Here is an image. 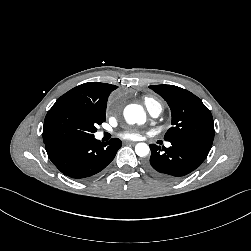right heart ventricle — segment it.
<instances>
[{"mask_svg":"<svg viewBox=\"0 0 251 251\" xmlns=\"http://www.w3.org/2000/svg\"><path fill=\"white\" fill-rule=\"evenodd\" d=\"M144 103H145V105H147V104H152V103H157V104H159L156 100H154L153 98H149V97H146V98L144 99Z\"/></svg>","mask_w":251,"mask_h":251,"instance_id":"1","label":"right heart ventricle"}]
</instances>
